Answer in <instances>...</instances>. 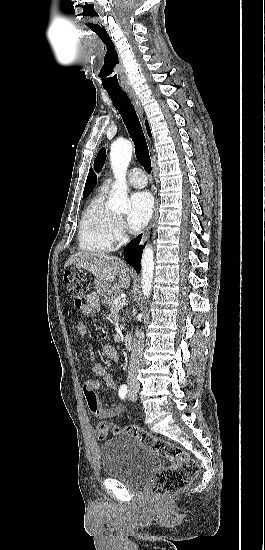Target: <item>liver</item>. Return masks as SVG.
Wrapping results in <instances>:
<instances>
[{"instance_id":"obj_1","label":"liver","mask_w":265,"mask_h":550,"mask_svg":"<svg viewBox=\"0 0 265 550\" xmlns=\"http://www.w3.org/2000/svg\"><path fill=\"white\" fill-rule=\"evenodd\" d=\"M76 265L86 269L97 278V286L110 289L111 283L119 275L118 287L127 289L130 287L129 268L117 256L105 253H78L72 255L65 266Z\"/></svg>"}]
</instances>
